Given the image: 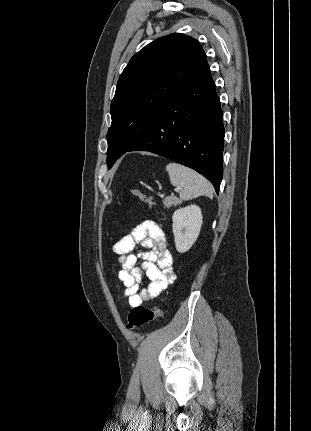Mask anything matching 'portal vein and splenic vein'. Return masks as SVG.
<instances>
[{
    "instance_id": "18ae733b",
    "label": "portal vein and splenic vein",
    "mask_w": 311,
    "mask_h": 431,
    "mask_svg": "<svg viewBox=\"0 0 311 431\" xmlns=\"http://www.w3.org/2000/svg\"><path fill=\"white\" fill-rule=\"evenodd\" d=\"M180 188H175L174 192H179Z\"/></svg>"
}]
</instances>
